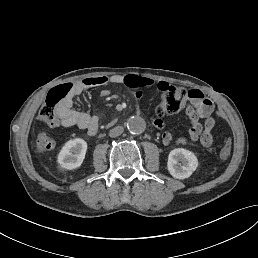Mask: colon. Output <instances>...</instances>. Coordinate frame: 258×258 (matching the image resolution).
I'll return each instance as SVG.
<instances>
[{
    "label": "colon",
    "mask_w": 258,
    "mask_h": 258,
    "mask_svg": "<svg viewBox=\"0 0 258 258\" xmlns=\"http://www.w3.org/2000/svg\"><path fill=\"white\" fill-rule=\"evenodd\" d=\"M75 85L73 83H63L49 90L46 100L39 112V120L47 127L54 129L59 126L60 118L58 110L67 101L74 97ZM188 98V92L181 87L169 85L163 92L161 102L157 107L158 116L172 114L180 111ZM232 149V142L225 139L219 152L221 161H226Z\"/></svg>",
    "instance_id": "obj_1"
}]
</instances>
